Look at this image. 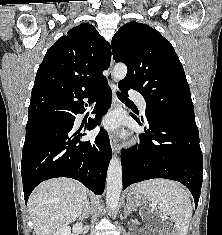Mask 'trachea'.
I'll list each match as a JSON object with an SVG mask.
<instances>
[{"mask_svg":"<svg viewBox=\"0 0 222 235\" xmlns=\"http://www.w3.org/2000/svg\"><path fill=\"white\" fill-rule=\"evenodd\" d=\"M117 95H118L119 99H121L122 101L127 102V103H132L128 98H126L121 93L117 92Z\"/></svg>","mask_w":222,"mask_h":235,"instance_id":"3493384b","label":"trachea"}]
</instances>
